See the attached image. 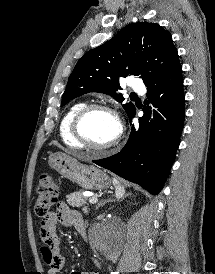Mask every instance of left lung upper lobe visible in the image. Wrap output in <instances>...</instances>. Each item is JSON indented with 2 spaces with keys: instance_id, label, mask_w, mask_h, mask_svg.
Returning <instances> with one entry per match:
<instances>
[{
  "instance_id": "5c2ea615",
  "label": "left lung upper lobe",
  "mask_w": 215,
  "mask_h": 274,
  "mask_svg": "<svg viewBox=\"0 0 215 274\" xmlns=\"http://www.w3.org/2000/svg\"><path fill=\"white\" fill-rule=\"evenodd\" d=\"M178 52L171 34L157 23L139 22L124 27L106 43L88 51L71 73L61 106L73 98L89 92L111 95L118 102L124 100L119 79L134 75L148 85L175 70ZM129 116L135 105H123Z\"/></svg>"
}]
</instances>
